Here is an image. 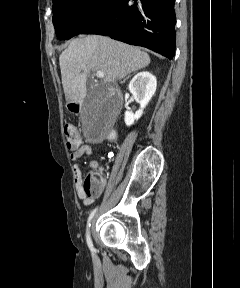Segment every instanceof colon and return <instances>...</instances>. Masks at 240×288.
Returning a JSON list of instances; mask_svg holds the SVG:
<instances>
[{"label": "colon", "mask_w": 240, "mask_h": 288, "mask_svg": "<svg viewBox=\"0 0 240 288\" xmlns=\"http://www.w3.org/2000/svg\"><path fill=\"white\" fill-rule=\"evenodd\" d=\"M64 132L67 139V146L69 149H76L80 146L82 139L77 128L71 124L64 125ZM100 190V182L94 175H88L83 183V192L87 197L96 195Z\"/></svg>", "instance_id": "colon-1"}]
</instances>
